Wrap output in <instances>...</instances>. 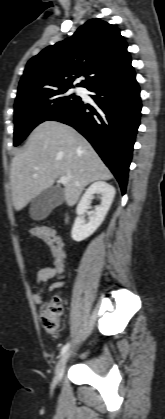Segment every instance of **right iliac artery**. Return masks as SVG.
I'll return each instance as SVG.
<instances>
[{"label":"right iliac artery","instance_id":"right-iliac-artery-1","mask_svg":"<svg viewBox=\"0 0 165 419\" xmlns=\"http://www.w3.org/2000/svg\"><path fill=\"white\" fill-rule=\"evenodd\" d=\"M69 343H67L66 345H64L63 347H62V349H61V352H60V356H62V355H64L65 353H66V351L68 350V348H69Z\"/></svg>","mask_w":165,"mask_h":419}]
</instances>
